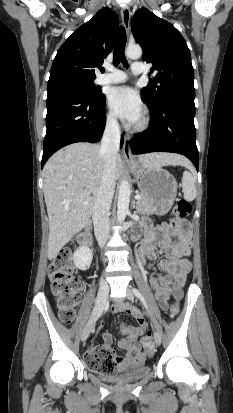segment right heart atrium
Listing matches in <instances>:
<instances>
[{"label": "right heart atrium", "instance_id": "d8ad5b80", "mask_svg": "<svg viewBox=\"0 0 233 413\" xmlns=\"http://www.w3.org/2000/svg\"><path fill=\"white\" fill-rule=\"evenodd\" d=\"M106 123L111 128H116L118 126L117 119L112 112L106 114Z\"/></svg>", "mask_w": 233, "mask_h": 413}]
</instances>
